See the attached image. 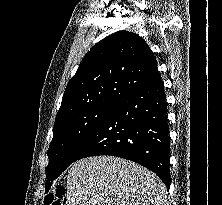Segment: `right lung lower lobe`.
I'll return each mask as SVG.
<instances>
[{
  "mask_svg": "<svg viewBox=\"0 0 222 205\" xmlns=\"http://www.w3.org/2000/svg\"><path fill=\"white\" fill-rule=\"evenodd\" d=\"M111 155L134 161L170 184V137L161 77L122 98L82 146L74 161Z\"/></svg>",
  "mask_w": 222,
  "mask_h": 205,
  "instance_id": "1",
  "label": "right lung lower lobe"
}]
</instances>
